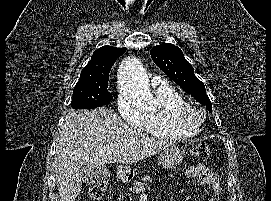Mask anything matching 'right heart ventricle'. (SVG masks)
I'll return each mask as SVG.
<instances>
[{"mask_svg": "<svg viewBox=\"0 0 271 201\" xmlns=\"http://www.w3.org/2000/svg\"><path fill=\"white\" fill-rule=\"evenodd\" d=\"M158 102L156 110L145 113L143 129L153 137L177 140L194 137L199 125L188 122L179 115V110L188 106L187 101L171 86L154 88Z\"/></svg>", "mask_w": 271, "mask_h": 201, "instance_id": "obj_1", "label": "right heart ventricle"}]
</instances>
